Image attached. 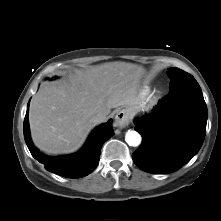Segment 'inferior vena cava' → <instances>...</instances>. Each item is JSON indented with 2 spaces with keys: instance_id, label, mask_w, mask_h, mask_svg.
Segmentation results:
<instances>
[{
  "instance_id": "inferior-vena-cava-1",
  "label": "inferior vena cava",
  "mask_w": 221,
  "mask_h": 221,
  "mask_svg": "<svg viewBox=\"0 0 221 221\" xmlns=\"http://www.w3.org/2000/svg\"><path fill=\"white\" fill-rule=\"evenodd\" d=\"M107 114L105 113H97L96 115H94L92 118H91V123L93 124H100V123H103L107 120Z\"/></svg>"
}]
</instances>
